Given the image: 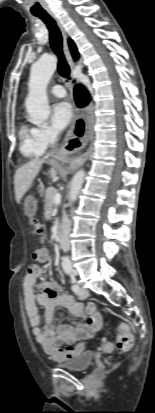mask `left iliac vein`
Listing matches in <instances>:
<instances>
[{"instance_id":"1","label":"left iliac vein","mask_w":155,"mask_h":413,"mask_svg":"<svg viewBox=\"0 0 155 413\" xmlns=\"http://www.w3.org/2000/svg\"><path fill=\"white\" fill-rule=\"evenodd\" d=\"M77 295H78L80 298L84 299V298H87V297L89 296V292H88V290H86L85 288L80 287L79 290H78V292H77Z\"/></svg>"}]
</instances>
